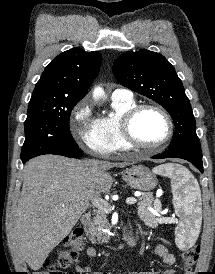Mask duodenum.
Listing matches in <instances>:
<instances>
[{
    "instance_id": "obj_1",
    "label": "duodenum",
    "mask_w": 215,
    "mask_h": 274,
    "mask_svg": "<svg viewBox=\"0 0 215 274\" xmlns=\"http://www.w3.org/2000/svg\"><path fill=\"white\" fill-rule=\"evenodd\" d=\"M81 224L83 226H86L89 221H90V214L89 213H84L82 216H81ZM135 241V238H134V235L132 232H129L127 233L126 237H125V246L126 247H131L133 245Z\"/></svg>"
}]
</instances>
